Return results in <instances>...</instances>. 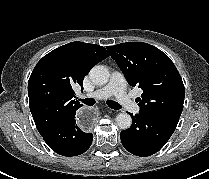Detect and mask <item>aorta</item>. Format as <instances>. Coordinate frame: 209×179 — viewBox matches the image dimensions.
<instances>
[{"instance_id": "aorta-1", "label": "aorta", "mask_w": 209, "mask_h": 179, "mask_svg": "<svg viewBox=\"0 0 209 179\" xmlns=\"http://www.w3.org/2000/svg\"><path fill=\"white\" fill-rule=\"evenodd\" d=\"M109 71L103 65L94 66L89 73L91 81L96 85H104L109 80ZM116 123L119 128L126 130L131 127L132 118L127 113H119L116 116Z\"/></svg>"}]
</instances>
